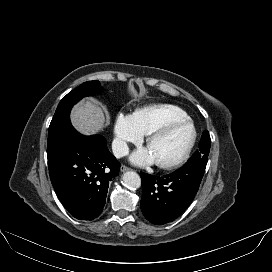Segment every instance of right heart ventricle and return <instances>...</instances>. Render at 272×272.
<instances>
[{"mask_svg": "<svg viewBox=\"0 0 272 272\" xmlns=\"http://www.w3.org/2000/svg\"><path fill=\"white\" fill-rule=\"evenodd\" d=\"M132 116L142 135H148L169 121L189 118L182 108L172 104L150 105L137 110Z\"/></svg>", "mask_w": 272, "mask_h": 272, "instance_id": "1", "label": "right heart ventricle"}]
</instances>
